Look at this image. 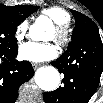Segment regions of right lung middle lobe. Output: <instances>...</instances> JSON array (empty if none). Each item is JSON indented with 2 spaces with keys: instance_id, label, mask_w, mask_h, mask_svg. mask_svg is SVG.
I'll return each mask as SVG.
<instances>
[{
  "instance_id": "right-lung-middle-lobe-1",
  "label": "right lung middle lobe",
  "mask_w": 103,
  "mask_h": 103,
  "mask_svg": "<svg viewBox=\"0 0 103 103\" xmlns=\"http://www.w3.org/2000/svg\"><path fill=\"white\" fill-rule=\"evenodd\" d=\"M38 8L30 5L27 13L14 14L4 5H0V53H10L17 50V42L14 37L17 26Z\"/></svg>"
}]
</instances>
